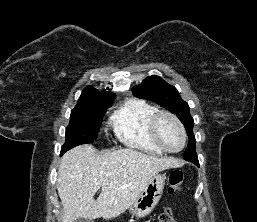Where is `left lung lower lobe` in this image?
Segmentation results:
<instances>
[{"mask_svg":"<svg viewBox=\"0 0 257 222\" xmlns=\"http://www.w3.org/2000/svg\"><path fill=\"white\" fill-rule=\"evenodd\" d=\"M194 164H196L197 166H199V162H196V163H194Z\"/></svg>","mask_w":257,"mask_h":222,"instance_id":"0a47b994","label":"left lung lower lobe"}]
</instances>
